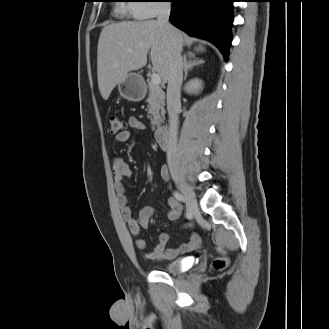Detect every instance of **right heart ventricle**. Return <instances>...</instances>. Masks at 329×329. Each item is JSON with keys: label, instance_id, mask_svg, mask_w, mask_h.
<instances>
[{"label": "right heart ventricle", "instance_id": "e07e8e85", "mask_svg": "<svg viewBox=\"0 0 329 329\" xmlns=\"http://www.w3.org/2000/svg\"><path fill=\"white\" fill-rule=\"evenodd\" d=\"M132 4L130 3H121L118 6V9L122 12L131 11Z\"/></svg>", "mask_w": 329, "mask_h": 329}]
</instances>
